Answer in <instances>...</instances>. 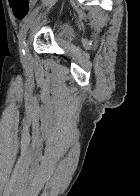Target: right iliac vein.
<instances>
[{"label":"right iliac vein","mask_w":140,"mask_h":196,"mask_svg":"<svg viewBox=\"0 0 140 196\" xmlns=\"http://www.w3.org/2000/svg\"><path fill=\"white\" fill-rule=\"evenodd\" d=\"M40 16H41V14L30 23V25H31L30 28H32V26L39 20ZM22 60H23L24 64H26V65L31 63V56L29 54L28 44H26V46H25V54L22 56Z\"/></svg>","instance_id":"right-iliac-vein-1"}]
</instances>
